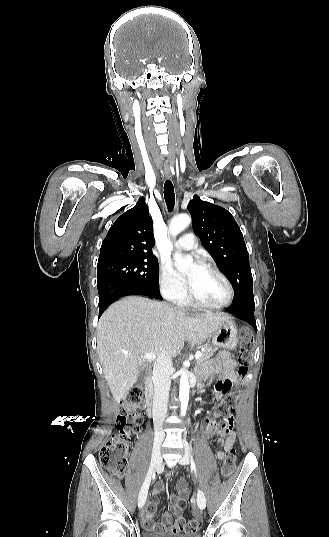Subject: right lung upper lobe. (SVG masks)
<instances>
[{"label": "right lung upper lobe", "mask_w": 329, "mask_h": 537, "mask_svg": "<svg viewBox=\"0 0 329 537\" xmlns=\"http://www.w3.org/2000/svg\"><path fill=\"white\" fill-rule=\"evenodd\" d=\"M153 221L145 198L122 214L110 227L101 245L98 264L117 260L156 258L152 253L155 245Z\"/></svg>", "instance_id": "cb5924a9"}]
</instances>
